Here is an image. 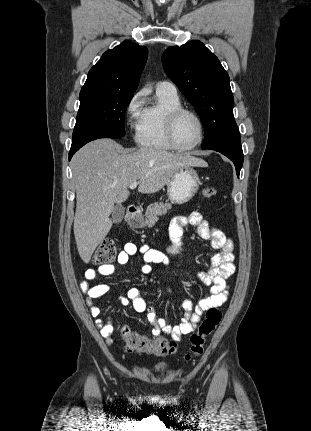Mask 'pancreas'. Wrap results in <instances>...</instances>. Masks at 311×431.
Returning <instances> with one entry per match:
<instances>
[{
	"instance_id": "obj_1",
	"label": "pancreas",
	"mask_w": 311,
	"mask_h": 431,
	"mask_svg": "<svg viewBox=\"0 0 311 431\" xmlns=\"http://www.w3.org/2000/svg\"><path fill=\"white\" fill-rule=\"evenodd\" d=\"M171 208L172 204H164V202H155V204L147 206L144 214L146 225H148V227L155 225L156 221L159 219L158 216H164V214H167Z\"/></svg>"
}]
</instances>
